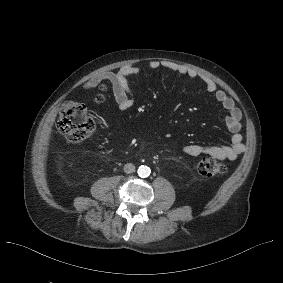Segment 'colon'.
<instances>
[{
	"mask_svg": "<svg viewBox=\"0 0 283 283\" xmlns=\"http://www.w3.org/2000/svg\"><path fill=\"white\" fill-rule=\"evenodd\" d=\"M103 87L101 91H104ZM98 101L104 100L100 93ZM58 131L71 143H78L88 138L94 129V122L87 114L85 107L75 101H66L62 105L57 121ZM196 171L207 177L220 176L226 173V165L214 158H202L195 164Z\"/></svg>",
	"mask_w": 283,
	"mask_h": 283,
	"instance_id": "5ec220e1",
	"label": "colon"
}]
</instances>
